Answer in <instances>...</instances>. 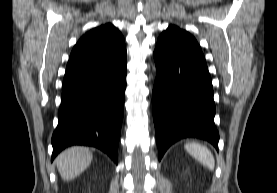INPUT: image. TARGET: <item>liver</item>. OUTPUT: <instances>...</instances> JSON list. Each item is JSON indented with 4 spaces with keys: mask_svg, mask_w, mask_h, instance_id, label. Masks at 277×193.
<instances>
[{
    "mask_svg": "<svg viewBox=\"0 0 277 193\" xmlns=\"http://www.w3.org/2000/svg\"><path fill=\"white\" fill-rule=\"evenodd\" d=\"M93 155L88 148L71 147L56 158L57 169L63 180H72L90 165Z\"/></svg>",
    "mask_w": 277,
    "mask_h": 193,
    "instance_id": "6515ba94",
    "label": "liver"
}]
</instances>
